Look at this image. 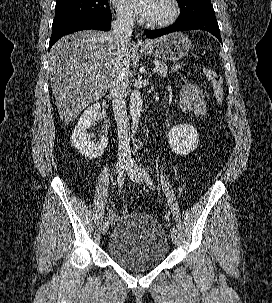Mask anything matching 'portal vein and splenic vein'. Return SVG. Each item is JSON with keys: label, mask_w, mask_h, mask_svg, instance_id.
<instances>
[{"label": "portal vein and splenic vein", "mask_w": 272, "mask_h": 303, "mask_svg": "<svg viewBox=\"0 0 272 303\" xmlns=\"http://www.w3.org/2000/svg\"><path fill=\"white\" fill-rule=\"evenodd\" d=\"M158 71H159V67H158V66H155V67L153 68V72L156 73V72H158Z\"/></svg>", "instance_id": "18ae733b"}]
</instances>
